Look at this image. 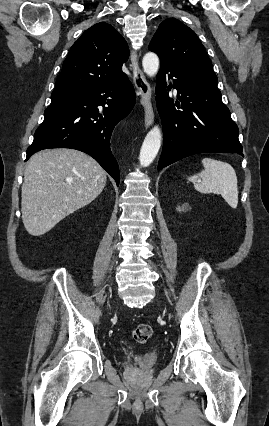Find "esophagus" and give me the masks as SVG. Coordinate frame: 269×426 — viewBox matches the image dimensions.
<instances>
[{"label": "esophagus", "instance_id": "34e87169", "mask_svg": "<svg viewBox=\"0 0 269 426\" xmlns=\"http://www.w3.org/2000/svg\"><path fill=\"white\" fill-rule=\"evenodd\" d=\"M131 70L133 73V81L140 98V105L144 110V119L146 128L150 127L154 121V112L151 102V87L139 66L138 54L136 50L131 52Z\"/></svg>", "mask_w": 269, "mask_h": 426}]
</instances>
